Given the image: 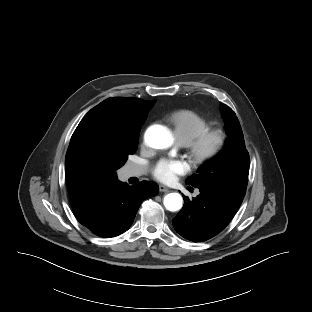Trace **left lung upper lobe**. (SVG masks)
<instances>
[{"mask_svg":"<svg viewBox=\"0 0 312 312\" xmlns=\"http://www.w3.org/2000/svg\"><path fill=\"white\" fill-rule=\"evenodd\" d=\"M221 110L229 133L225 147L216 157L200 167L197 175L188 178L186 183L194 187L217 189L241 204L248 183L249 153L236 114L224 104L221 105Z\"/></svg>","mask_w":312,"mask_h":312,"instance_id":"5c2ea615","label":"left lung upper lobe"}]
</instances>
